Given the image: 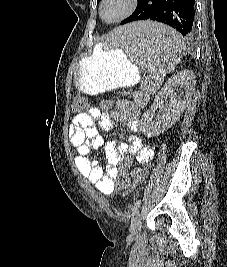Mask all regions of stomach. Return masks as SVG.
Returning a JSON list of instances; mask_svg holds the SVG:
<instances>
[{"mask_svg":"<svg viewBox=\"0 0 227 267\" xmlns=\"http://www.w3.org/2000/svg\"><path fill=\"white\" fill-rule=\"evenodd\" d=\"M140 59H129V55H119L110 47L94 49L93 55L84 57L74 74L78 90L86 94H97L122 86L132 85L140 78Z\"/></svg>","mask_w":227,"mask_h":267,"instance_id":"1","label":"stomach"}]
</instances>
